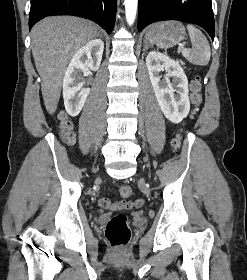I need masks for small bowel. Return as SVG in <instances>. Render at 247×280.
Instances as JSON below:
<instances>
[{
	"label": "small bowel",
	"mask_w": 247,
	"mask_h": 280,
	"mask_svg": "<svg viewBox=\"0 0 247 280\" xmlns=\"http://www.w3.org/2000/svg\"><path fill=\"white\" fill-rule=\"evenodd\" d=\"M99 204L104 207V208H110L113 210L116 209H121V208H135V207H140L143 204L142 199H138L134 202H116V203H111L110 200L107 198H102L99 201Z\"/></svg>",
	"instance_id": "c3829d8e"
}]
</instances>
